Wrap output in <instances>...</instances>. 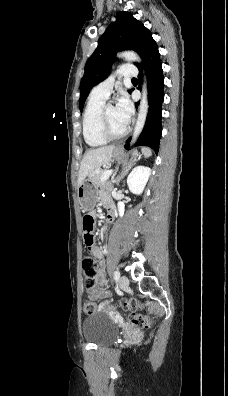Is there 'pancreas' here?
<instances>
[{
	"mask_svg": "<svg viewBox=\"0 0 228 396\" xmlns=\"http://www.w3.org/2000/svg\"><path fill=\"white\" fill-rule=\"evenodd\" d=\"M103 173H104V170H101L99 172H93L90 174L89 179L94 186L99 187L104 184V182L101 181Z\"/></svg>",
	"mask_w": 228,
	"mask_h": 396,
	"instance_id": "pancreas-1",
	"label": "pancreas"
}]
</instances>
